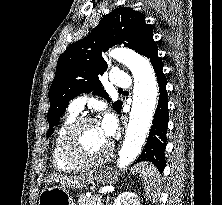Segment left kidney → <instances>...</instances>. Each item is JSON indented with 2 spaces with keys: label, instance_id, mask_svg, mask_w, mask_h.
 I'll list each match as a JSON object with an SVG mask.
<instances>
[{
  "label": "left kidney",
  "instance_id": "obj_1",
  "mask_svg": "<svg viewBox=\"0 0 222 205\" xmlns=\"http://www.w3.org/2000/svg\"><path fill=\"white\" fill-rule=\"evenodd\" d=\"M113 205H141L138 196L133 192H123L117 196Z\"/></svg>",
  "mask_w": 222,
  "mask_h": 205
}]
</instances>
